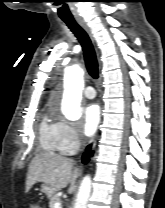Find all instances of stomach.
I'll return each instance as SVG.
<instances>
[{
    "instance_id": "stomach-1",
    "label": "stomach",
    "mask_w": 165,
    "mask_h": 208,
    "mask_svg": "<svg viewBox=\"0 0 165 208\" xmlns=\"http://www.w3.org/2000/svg\"><path fill=\"white\" fill-rule=\"evenodd\" d=\"M41 191L48 197L51 198L55 195L56 189L53 188L52 186H49L47 184H43L41 186Z\"/></svg>"
}]
</instances>
